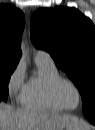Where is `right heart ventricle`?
I'll return each mask as SVG.
<instances>
[{"label": "right heart ventricle", "instance_id": "1", "mask_svg": "<svg viewBox=\"0 0 95 130\" xmlns=\"http://www.w3.org/2000/svg\"><path fill=\"white\" fill-rule=\"evenodd\" d=\"M37 72L25 83L20 94L23 107L59 112L64 110L53 98L52 84L61 77L53 61L35 60Z\"/></svg>", "mask_w": 95, "mask_h": 130}]
</instances>
